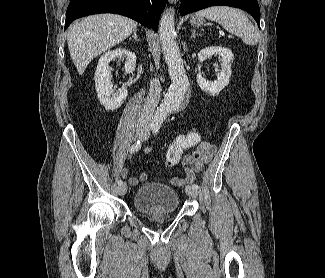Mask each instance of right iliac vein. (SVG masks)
I'll use <instances>...</instances> for the list:
<instances>
[{
	"label": "right iliac vein",
	"instance_id": "right-iliac-vein-1",
	"mask_svg": "<svg viewBox=\"0 0 325 278\" xmlns=\"http://www.w3.org/2000/svg\"><path fill=\"white\" fill-rule=\"evenodd\" d=\"M144 133V129L142 127L138 128L136 130V136L139 138L143 135ZM117 191L119 193V195L123 196L126 194L127 192V185L126 184H122V185H119L118 188H117Z\"/></svg>",
	"mask_w": 325,
	"mask_h": 278
}]
</instances>
